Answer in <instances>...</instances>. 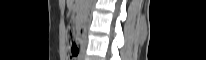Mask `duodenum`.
<instances>
[{
    "mask_svg": "<svg viewBox=\"0 0 206 60\" xmlns=\"http://www.w3.org/2000/svg\"><path fill=\"white\" fill-rule=\"evenodd\" d=\"M79 31H80V35H81V37H84V35H85V31H84V29H83L82 26L79 27Z\"/></svg>",
    "mask_w": 206,
    "mask_h": 60,
    "instance_id": "410a0bca",
    "label": "duodenum"
}]
</instances>
